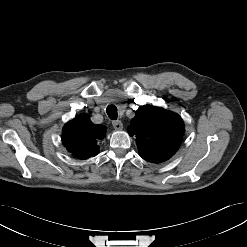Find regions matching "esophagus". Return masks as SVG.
<instances>
[{"instance_id":"1","label":"esophagus","mask_w":247,"mask_h":247,"mask_svg":"<svg viewBox=\"0 0 247 247\" xmlns=\"http://www.w3.org/2000/svg\"><path fill=\"white\" fill-rule=\"evenodd\" d=\"M112 125H113L115 130H122L123 129V124L120 120L112 121Z\"/></svg>"}]
</instances>
